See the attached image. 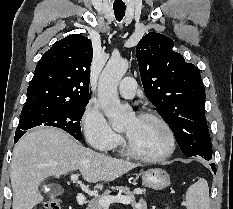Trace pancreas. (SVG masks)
I'll return each instance as SVG.
<instances>
[{"label":"pancreas","mask_w":233,"mask_h":209,"mask_svg":"<svg viewBox=\"0 0 233 209\" xmlns=\"http://www.w3.org/2000/svg\"><path fill=\"white\" fill-rule=\"evenodd\" d=\"M112 189L117 190L119 194L124 193L125 197H129L131 199V206L133 209H147V203L143 198L136 202L134 194L137 192V190L130 191L129 188L123 186L112 187ZM110 193V190H106L101 196L91 199L88 201L86 209H103V207L99 204V199L110 196Z\"/></svg>","instance_id":"pancreas-1"}]
</instances>
